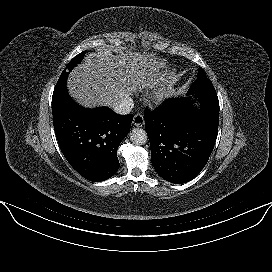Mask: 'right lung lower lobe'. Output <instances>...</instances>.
<instances>
[{
	"label": "right lung lower lobe",
	"instance_id": "obj_1",
	"mask_svg": "<svg viewBox=\"0 0 272 272\" xmlns=\"http://www.w3.org/2000/svg\"><path fill=\"white\" fill-rule=\"evenodd\" d=\"M55 134L70 165L84 178L100 182L119 169L117 149L130 131L133 116L112 109H85L68 95L67 89L52 97Z\"/></svg>",
	"mask_w": 272,
	"mask_h": 272
}]
</instances>
